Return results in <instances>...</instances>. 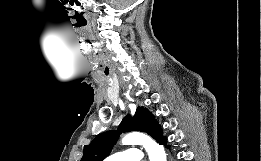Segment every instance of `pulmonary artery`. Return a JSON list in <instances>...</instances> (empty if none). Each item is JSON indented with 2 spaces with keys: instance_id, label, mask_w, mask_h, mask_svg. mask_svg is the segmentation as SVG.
Instances as JSON below:
<instances>
[{
  "instance_id": "obj_1",
  "label": "pulmonary artery",
  "mask_w": 261,
  "mask_h": 161,
  "mask_svg": "<svg viewBox=\"0 0 261 161\" xmlns=\"http://www.w3.org/2000/svg\"><path fill=\"white\" fill-rule=\"evenodd\" d=\"M141 156L137 149H127L114 153L104 159V161H140Z\"/></svg>"
}]
</instances>
